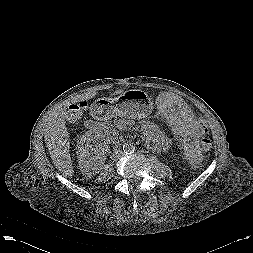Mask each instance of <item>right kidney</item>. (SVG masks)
I'll return each mask as SVG.
<instances>
[{
  "mask_svg": "<svg viewBox=\"0 0 253 253\" xmlns=\"http://www.w3.org/2000/svg\"><path fill=\"white\" fill-rule=\"evenodd\" d=\"M109 140L99 128H93L83 134L77 144L79 168L86 177L99 172L106 159Z\"/></svg>",
  "mask_w": 253,
  "mask_h": 253,
  "instance_id": "right-kidney-1",
  "label": "right kidney"
}]
</instances>
